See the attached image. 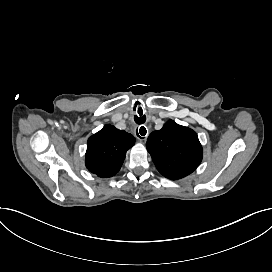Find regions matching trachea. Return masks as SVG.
I'll use <instances>...</instances> for the list:
<instances>
[{
  "label": "trachea",
  "instance_id": "1",
  "mask_svg": "<svg viewBox=\"0 0 272 272\" xmlns=\"http://www.w3.org/2000/svg\"><path fill=\"white\" fill-rule=\"evenodd\" d=\"M135 120L138 124L142 125L145 121V117H142V118L136 117ZM139 132H140V135L145 136L146 135L145 127L141 126Z\"/></svg>",
  "mask_w": 272,
  "mask_h": 272
}]
</instances>
